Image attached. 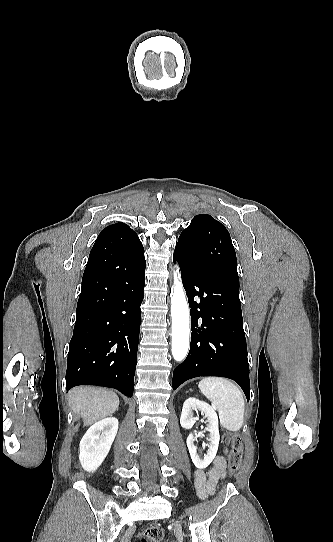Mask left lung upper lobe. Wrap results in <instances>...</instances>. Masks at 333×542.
<instances>
[{"label": "left lung upper lobe", "mask_w": 333, "mask_h": 542, "mask_svg": "<svg viewBox=\"0 0 333 542\" xmlns=\"http://www.w3.org/2000/svg\"><path fill=\"white\" fill-rule=\"evenodd\" d=\"M191 265L239 281L237 258L230 234L208 214L196 215L175 247Z\"/></svg>", "instance_id": "left-lung-upper-lobe-1"}]
</instances>
